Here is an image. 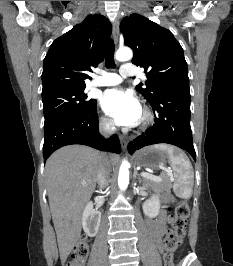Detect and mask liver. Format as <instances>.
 <instances>
[{"label": "liver", "instance_id": "liver-1", "mask_svg": "<svg viewBox=\"0 0 233 266\" xmlns=\"http://www.w3.org/2000/svg\"><path fill=\"white\" fill-rule=\"evenodd\" d=\"M103 159L111 171L118 156L103 157L90 147L68 145L55 151L46 162L49 205L62 264L80 238L84 205L95 190Z\"/></svg>", "mask_w": 233, "mask_h": 266}]
</instances>
